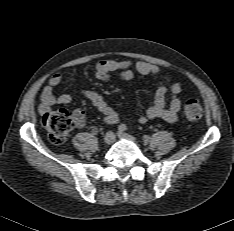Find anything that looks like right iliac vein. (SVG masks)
Returning <instances> with one entry per match:
<instances>
[{"instance_id": "right-iliac-vein-1", "label": "right iliac vein", "mask_w": 234, "mask_h": 231, "mask_svg": "<svg viewBox=\"0 0 234 231\" xmlns=\"http://www.w3.org/2000/svg\"><path fill=\"white\" fill-rule=\"evenodd\" d=\"M115 141V134L112 131H109L104 136V142L107 145H111Z\"/></svg>"}]
</instances>
